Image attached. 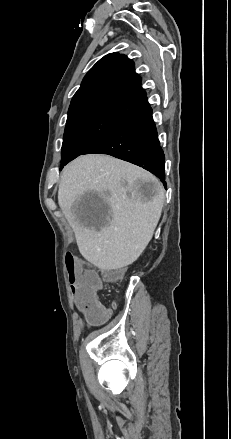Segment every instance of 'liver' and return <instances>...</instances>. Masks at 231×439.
Here are the masks:
<instances>
[{
  "label": "liver",
  "mask_w": 231,
  "mask_h": 439,
  "mask_svg": "<svg viewBox=\"0 0 231 439\" xmlns=\"http://www.w3.org/2000/svg\"><path fill=\"white\" fill-rule=\"evenodd\" d=\"M150 187L144 189L142 183ZM97 195L106 213L86 216L82 196ZM165 190L145 169L100 154L83 155L63 170L58 204L82 256L101 270H116L142 254L161 216Z\"/></svg>",
  "instance_id": "liver-1"
}]
</instances>
